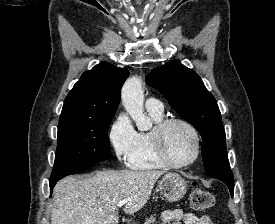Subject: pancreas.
Returning <instances> with one entry per match:
<instances>
[{"label":"pancreas","mask_w":275,"mask_h":224,"mask_svg":"<svg viewBox=\"0 0 275 224\" xmlns=\"http://www.w3.org/2000/svg\"><path fill=\"white\" fill-rule=\"evenodd\" d=\"M155 222H156L155 215H151L149 218L146 219L144 224H155Z\"/></svg>","instance_id":"cf45deb5"}]
</instances>
